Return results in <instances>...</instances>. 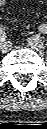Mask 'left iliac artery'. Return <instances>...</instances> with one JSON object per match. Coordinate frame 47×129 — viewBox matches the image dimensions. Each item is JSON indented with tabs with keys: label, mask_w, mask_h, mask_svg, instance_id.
Returning a JSON list of instances; mask_svg holds the SVG:
<instances>
[{
	"label": "left iliac artery",
	"mask_w": 47,
	"mask_h": 129,
	"mask_svg": "<svg viewBox=\"0 0 47 129\" xmlns=\"http://www.w3.org/2000/svg\"><path fill=\"white\" fill-rule=\"evenodd\" d=\"M42 33H46L47 32V27L45 25H42L39 29Z\"/></svg>",
	"instance_id": "obj_1"
}]
</instances>
